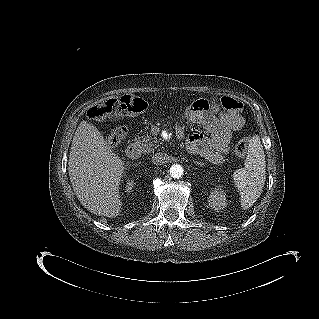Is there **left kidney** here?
Listing matches in <instances>:
<instances>
[{"label":"left kidney","mask_w":319,"mask_h":319,"mask_svg":"<svg viewBox=\"0 0 319 319\" xmlns=\"http://www.w3.org/2000/svg\"><path fill=\"white\" fill-rule=\"evenodd\" d=\"M208 203L209 206L215 210H221L228 205L225 193L219 189H215L211 192Z\"/></svg>","instance_id":"1"}]
</instances>
